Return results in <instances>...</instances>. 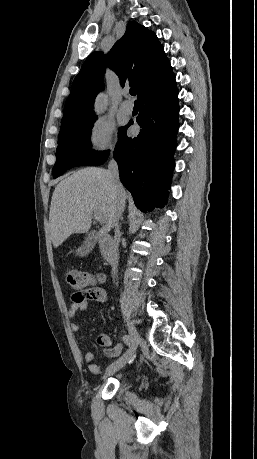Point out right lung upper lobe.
<instances>
[{"label":"right lung upper lobe","instance_id":"1","mask_svg":"<svg viewBox=\"0 0 257 459\" xmlns=\"http://www.w3.org/2000/svg\"><path fill=\"white\" fill-rule=\"evenodd\" d=\"M108 65L121 80L135 87L139 98L155 84L172 74L163 46L156 35L135 21L127 25L124 36L108 55L93 52L75 77L67 99L60 133L95 117L91 105L103 89V74Z\"/></svg>","mask_w":257,"mask_h":459}]
</instances>
